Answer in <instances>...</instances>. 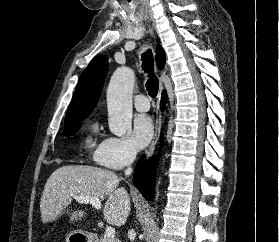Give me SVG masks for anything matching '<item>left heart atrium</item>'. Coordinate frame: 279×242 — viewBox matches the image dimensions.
Returning <instances> with one entry per match:
<instances>
[{
    "label": "left heart atrium",
    "mask_w": 279,
    "mask_h": 242,
    "mask_svg": "<svg viewBox=\"0 0 279 242\" xmlns=\"http://www.w3.org/2000/svg\"><path fill=\"white\" fill-rule=\"evenodd\" d=\"M154 135V125L151 118L141 114L135 117L132 129V140L139 149L146 147Z\"/></svg>",
    "instance_id": "1"
}]
</instances>
